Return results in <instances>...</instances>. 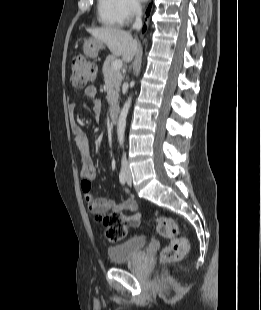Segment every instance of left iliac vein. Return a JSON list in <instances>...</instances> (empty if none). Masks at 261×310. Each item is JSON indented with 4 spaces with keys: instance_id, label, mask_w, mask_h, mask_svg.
I'll return each instance as SVG.
<instances>
[{
    "instance_id": "obj_1",
    "label": "left iliac vein",
    "mask_w": 261,
    "mask_h": 310,
    "mask_svg": "<svg viewBox=\"0 0 261 310\" xmlns=\"http://www.w3.org/2000/svg\"><path fill=\"white\" fill-rule=\"evenodd\" d=\"M126 175H127V183H128L129 186H131V184H132V177H131V173H130L129 168L126 169Z\"/></svg>"
}]
</instances>
